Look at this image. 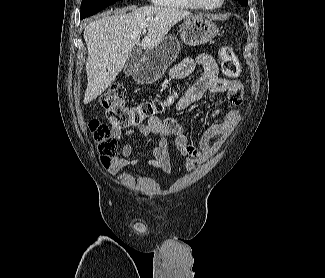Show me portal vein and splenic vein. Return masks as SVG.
Segmentation results:
<instances>
[{"instance_id": "18ae733b", "label": "portal vein and splenic vein", "mask_w": 325, "mask_h": 278, "mask_svg": "<svg viewBox=\"0 0 325 278\" xmlns=\"http://www.w3.org/2000/svg\"><path fill=\"white\" fill-rule=\"evenodd\" d=\"M146 32H147V30H146V29L142 30V33H143V34H145Z\"/></svg>"}]
</instances>
